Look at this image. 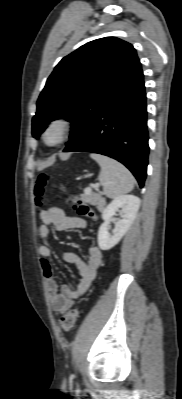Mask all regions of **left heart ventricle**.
Returning <instances> with one entry per match:
<instances>
[{"instance_id":"left-heart-ventricle-1","label":"left heart ventricle","mask_w":182,"mask_h":399,"mask_svg":"<svg viewBox=\"0 0 182 399\" xmlns=\"http://www.w3.org/2000/svg\"><path fill=\"white\" fill-rule=\"evenodd\" d=\"M59 137H60L59 130L57 128H53L47 134V141L49 143H54L59 139Z\"/></svg>"}]
</instances>
